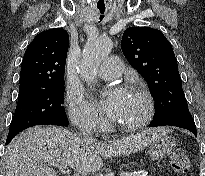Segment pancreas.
Instances as JSON below:
<instances>
[{"label": "pancreas", "mask_w": 205, "mask_h": 176, "mask_svg": "<svg viewBox=\"0 0 205 176\" xmlns=\"http://www.w3.org/2000/svg\"><path fill=\"white\" fill-rule=\"evenodd\" d=\"M125 176H136V175H134L133 173H127L125 174Z\"/></svg>", "instance_id": "obj_1"}]
</instances>
